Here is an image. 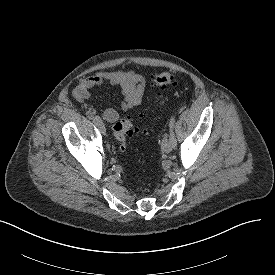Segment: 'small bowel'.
Listing matches in <instances>:
<instances>
[{
  "instance_id": "c3829d8e",
  "label": "small bowel",
  "mask_w": 275,
  "mask_h": 275,
  "mask_svg": "<svg viewBox=\"0 0 275 275\" xmlns=\"http://www.w3.org/2000/svg\"><path fill=\"white\" fill-rule=\"evenodd\" d=\"M103 84L119 86L121 88V109L128 111L141 104L146 82L142 75L134 71L116 70L98 72L82 78L72 90V95L78 102L85 104L91 96V90ZM97 112L98 110L95 106H87V113L90 117L95 116ZM100 115L109 123H114L119 119L118 111L113 108L102 109Z\"/></svg>"
}]
</instances>
